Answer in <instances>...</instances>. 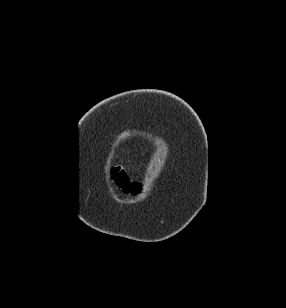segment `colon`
Wrapping results in <instances>:
<instances>
[{
	"label": "colon",
	"mask_w": 286,
	"mask_h": 308,
	"mask_svg": "<svg viewBox=\"0 0 286 308\" xmlns=\"http://www.w3.org/2000/svg\"><path fill=\"white\" fill-rule=\"evenodd\" d=\"M110 177L120 189L127 193H136L140 189L139 184L132 181L122 169L112 168L110 170Z\"/></svg>",
	"instance_id": "colon-1"
}]
</instances>
